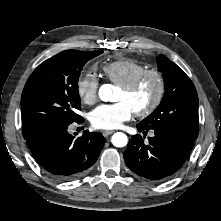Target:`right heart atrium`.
Returning <instances> with one entry per match:
<instances>
[{"label": "right heart atrium", "mask_w": 221, "mask_h": 221, "mask_svg": "<svg viewBox=\"0 0 221 221\" xmlns=\"http://www.w3.org/2000/svg\"><path fill=\"white\" fill-rule=\"evenodd\" d=\"M99 82L95 72L87 71L79 76L76 90L80 100L88 105L96 102L98 97Z\"/></svg>", "instance_id": "d8ad5b80"}]
</instances>
